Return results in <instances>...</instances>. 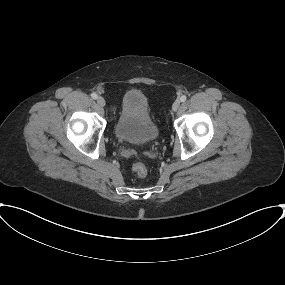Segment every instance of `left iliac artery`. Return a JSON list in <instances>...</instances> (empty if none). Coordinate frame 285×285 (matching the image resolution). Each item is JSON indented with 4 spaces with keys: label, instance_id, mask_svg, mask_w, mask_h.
<instances>
[{
    "label": "left iliac artery",
    "instance_id": "1",
    "mask_svg": "<svg viewBox=\"0 0 285 285\" xmlns=\"http://www.w3.org/2000/svg\"><path fill=\"white\" fill-rule=\"evenodd\" d=\"M186 99H187V97H186L185 95H182V96L180 97V101H181V102H185Z\"/></svg>",
    "mask_w": 285,
    "mask_h": 285
}]
</instances>
